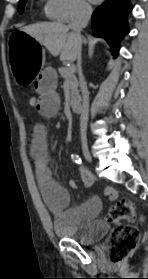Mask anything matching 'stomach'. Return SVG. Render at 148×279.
Returning <instances> with one entry per match:
<instances>
[{
	"label": "stomach",
	"instance_id": "obj_1",
	"mask_svg": "<svg viewBox=\"0 0 148 279\" xmlns=\"http://www.w3.org/2000/svg\"><path fill=\"white\" fill-rule=\"evenodd\" d=\"M6 44L11 50H7L10 59V69L16 81V87H31V82L43 72L45 63V51L34 37L26 33V30H13L9 34Z\"/></svg>",
	"mask_w": 148,
	"mask_h": 279
}]
</instances>
